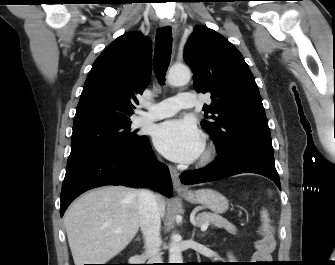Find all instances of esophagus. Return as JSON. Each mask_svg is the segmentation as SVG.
I'll return each instance as SVG.
<instances>
[{"instance_id": "obj_1", "label": "esophagus", "mask_w": 335, "mask_h": 265, "mask_svg": "<svg viewBox=\"0 0 335 265\" xmlns=\"http://www.w3.org/2000/svg\"><path fill=\"white\" fill-rule=\"evenodd\" d=\"M160 26L161 27H169V26H171V22L168 19H161L160 20ZM170 174H171L172 183H173V187H174L175 191H177V192L187 191V188H185L181 184L179 172L175 168H173V167L170 168Z\"/></svg>"}]
</instances>
